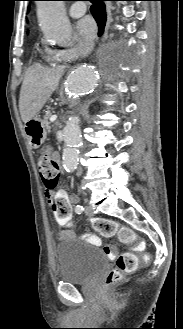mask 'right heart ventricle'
Listing matches in <instances>:
<instances>
[{
	"mask_svg": "<svg viewBox=\"0 0 183 329\" xmlns=\"http://www.w3.org/2000/svg\"><path fill=\"white\" fill-rule=\"evenodd\" d=\"M42 58L44 61H46L48 63L55 62L59 59L57 56V52H55L49 48H46L43 50Z\"/></svg>",
	"mask_w": 183,
	"mask_h": 329,
	"instance_id": "right-heart-ventricle-1",
	"label": "right heart ventricle"
}]
</instances>
